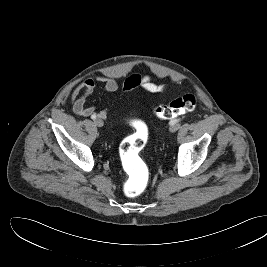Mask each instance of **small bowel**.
Wrapping results in <instances>:
<instances>
[{
    "label": "small bowel",
    "instance_id": "small-bowel-1",
    "mask_svg": "<svg viewBox=\"0 0 267 267\" xmlns=\"http://www.w3.org/2000/svg\"><path fill=\"white\" fill-rule=\"evenodd\" d=\"M99 81L102 82V90L106 93L116 92L119 88L118 81L114 78L100 77ZM143 87L150 92H163L166 90L165 85H158L152 81V78L148 75L140 76L137 74L131 75L124 81L122 91L126 94L137 87ZM96 83L91 78L82 80L72 91L71 101L73 104V111L76 115L81 117H90L93 114L97 115L101 119L107 117V110L96 111V109L87 105V98L94 92Z\"/></svg>",
    "mask_w": 267,
    "mask_h": 267
}]
</instances>
